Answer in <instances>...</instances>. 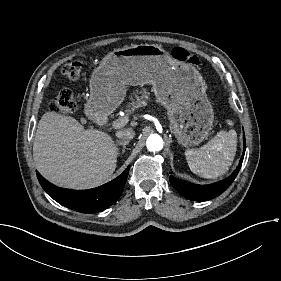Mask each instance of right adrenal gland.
<instances>
[{
	"label": "right adrenal gland",
	"mask_w": 281,
	"mask_h": 281,
	"mask_svg": "<svg viewBox=\"0 0 281 281\" xmlns=\"http://www.w3.org/2000/svg\"><path fill=\"white\" fill-rule=\"evenodd\" d=\"M117 142H119L121 145H123V152H125V146L128 145L129 141L128 140H122V139H117ZM115 150H116V155H118V147L115 146Z\"/></svg>",
	"instance_id": "1"
}]
</instances>
